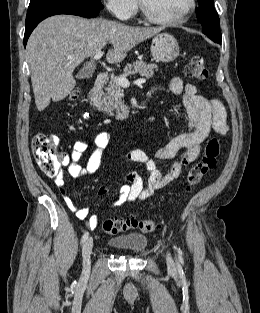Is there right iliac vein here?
Segmentation results:
<instances>
[{
    "instance_id": "63e3f726",
    "label": "right iliac vein",
    "mask_w": 260,
    "mask_h": 313,
    "mask_svg": "<svg viewBox=\"0 0 260 313\" xmlns=\"http://www.w3.org/2000/svg\"><path fill=\"white\" fill-rule=\"evenodd\" d=\"M93 247V239L89 237L83 246L82 249V256H83V270H82V276L87 278L90 274V267H91V260L90 255L92 252Z\"/></svg>"
}]
</instances>
